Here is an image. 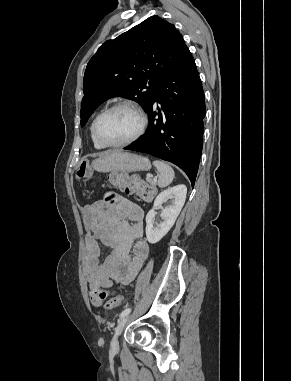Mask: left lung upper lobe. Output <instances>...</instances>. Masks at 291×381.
<instances>
[{
    "mask_svg": "<svg viewBox=\"0 0 291 381\" xmlns=\"http://www.w3.org/2000/svg\"><path fill=\"white\" fill-rule=\"evenodd\" d=\"M187 49L174 25L159 16H151L106 41L85 70L81 126L103 101L112 97L134 100L146 110L158 84Z\"/></svg>",
    "mask_w": 291,
    "mask_h": 381,
    "instance_id": "left-lung-upper-lobe-1",
    "label": "left lung upper lobe"
}]
</instances>
